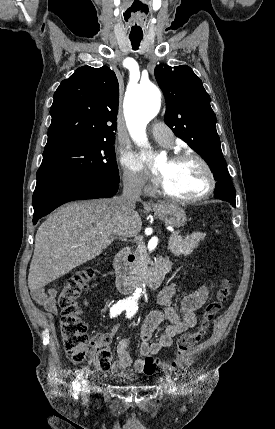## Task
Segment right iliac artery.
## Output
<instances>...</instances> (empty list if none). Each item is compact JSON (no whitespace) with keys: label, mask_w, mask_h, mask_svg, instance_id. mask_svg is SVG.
<instances>
[{"label":"right iliac artery","mask_w":275,"mask_h":429,"mask_svg":"<svg viewBox=\"0 0 275 429\" xmlns=\"http://www.w3.org/2000/svg\"><path fill=\"white\" fill-rule=\"evenodd\" d=\"M125 308H126V306L123 303L118 302V303L114 304L110 309V316L111 317L118 316ZM79 376H80V374L78 375V379L75 380V382H73V390H74V397L75 398H77V394L80 390Z\"/></svg>","instance_id":"82829eb1"}]
</instances>
